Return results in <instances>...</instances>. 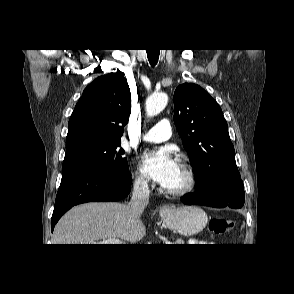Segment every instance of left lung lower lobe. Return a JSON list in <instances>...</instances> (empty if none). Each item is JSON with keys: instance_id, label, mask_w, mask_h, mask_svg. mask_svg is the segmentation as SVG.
<instances>
[{"instance_id": "0a47b994", "label": "left lung lower lobe", "mask_w": 294, "mask_h": 294, "mask_svg": "<svg viewBox=\"0 0 294 294\" xmlns=\"http://www.w3.org/2000/svg\"><path fill=\"white\" fill-rule=\"evenodd\" d=\"M182 202L187 205L199 204L216 208H241L244 205V185L239 180H221L210 191L204 194L197 192L182 197Z\"/></svg>"}]
</instances>
